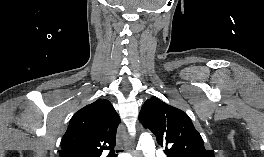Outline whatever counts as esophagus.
<instances>
[{
    "label": "esophagus",
    "mask_w": 264,
    "mask_h": 157,
    "mask_svg": "<svg viewBox=\"0 0 264 157\" xmlns=\"http://www.w3.org/2000/svg\"><path fill=\"white\" fill-rule=\"evenodd\" d=\"M126 144H127L128 150L133 153L134 157H140L139 151L135 149L134 140L131 137L127 136Z\"/></svg>",
    "instance_id": "34e87169"
}]
</instances>
